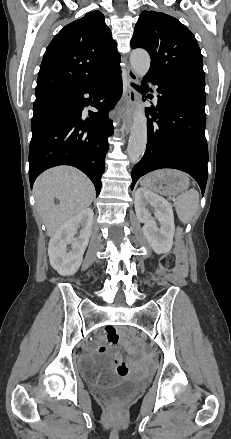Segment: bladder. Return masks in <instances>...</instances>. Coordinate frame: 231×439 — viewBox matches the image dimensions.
I'll return each instance as SVG.
<instances>
[{"instance_id": "1", "label": "bladder", "mask_w": 231, "mask_h": 439, "mask_svg": "<svg viewBox=\"0 0 231 439\" xmlns=\"http://www.w3.org/2000/svg\"><path fill=\"white\" fill-rule=\"evenodd\" d=\"M78 370L84 378L92 377L99 371V367L92 360L83 356L79 359ZM141 386V382L137 380L121 381L111 387L96 386L94 390L97 395L102 398H110L113 396H126L133 393Z\"/></svg>"}]
</instances>
